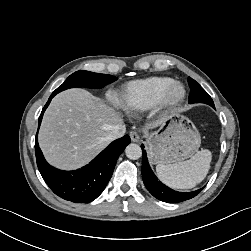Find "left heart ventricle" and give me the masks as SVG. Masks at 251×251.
Segmentation results:
<instances>
[{
	"instance_id": "obj_1",
	"label": "left heart ventricle",
	"mask_w": 251,
	"mask_h": 251,
	"mask_svg": "<svg viewBox=\"0 0 251 251\" xmlns=\"http://www.w3.org/2000/svg\"><path fill=\"white\" fill-rule=\"evenodd\" d=\"M179 93H180V90H179V89H176V90H174V92H173V96H177Z\"/></svg>"
}]
</instances>
